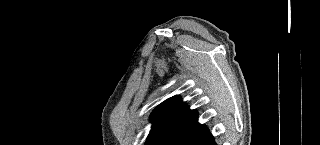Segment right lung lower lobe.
Returning <instances> with one entry per match:
<instances>
[{
    "label": "right lung lower lobe",
    "mask_w": 320,
    "mask_h": 145,
    "mask_svg": "<svg viewBox=\"0 0 320 145\" xmlns=\"http://www.w3.org/2000/svg\"><path fill=\"white\" fill-rule=\"evenodd\" d=\"M168 145H216L206 126L198 125L172 138Z\"/></svg>",
    "instance_id": "obj_1"
}]
</instances>
